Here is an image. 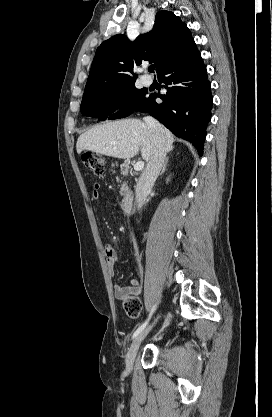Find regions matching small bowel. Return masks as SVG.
<instances>
[{
  "mask_svg": "<svg viewBox=\"0 0 272 417\" xmlns=\"http://www.w3.org/2000/svg\"><path fill=\"white\" fill-rule=\"evenodd\" d=\"M100 184L95 183L93 185L92 198L98 200L100 196ZM105 255L107 257V264L109 273L111 276L115 274V265L118 262V255L115 248L112 245L105 246ZM142 292L141 284L137 279H132L126 286H121L119 283H115L113 286L114 297L118 300H125L129 296L138 297Z\"/></svg>",
  "mask_w": 272,
  "mask_h": 417,
  "instance_id": "c3829d8e",
  "label": "small bowel"
}]
</instances>
